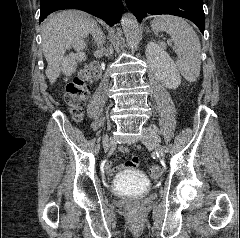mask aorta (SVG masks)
Wrapping results in <instances>:
<instances>
[{
    "mask_svg": "<svg viewBox=\"0 0 240 238\" xmlns=\"http://www.w3.org/2000/svg\"><path fill=\"white\" fill-rule=\"evenodd\" d=\"M122 29L127 41V44L133 48L139 42V25L135 16L131 13L123 14L121 18Z\"/></svg>",
    "mask_w": 240,
    "mask_h": 238,
    "instance_id": "aorta-1",
    "label": "aorta"
}]
</instances>
